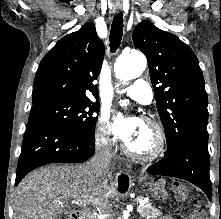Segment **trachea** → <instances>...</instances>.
I'll list each match as a JSON object with an SVG mask.
<instances>
[{
  "label": "trachea",
  "mask_w": 221,
  "mask_h": 219,
  "mask_svg": "<svg viewBox=\"0 0 221 219\" xmlns=\"http://www.w3.org/2000/svg\"><path fill=\"white\" fill-rule=\"evenodd\" d=\"M123 35V16L122 13H118L114 16L110 30V48L112 52H115L121 43Z\"/></svg>",
  "instance_id": "obj_1"
}]
</instances>
